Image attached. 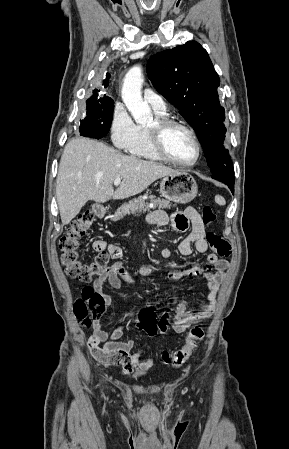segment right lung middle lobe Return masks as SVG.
Instances as JSON below:
<instances>
[{"label": "right lung middle lobe", "instance_id": "dd1d6c3e", "mask_svg": "<svg viewBox=\"0 0 289 449\" xmlns=\"http://www.w3.org/2000/svg\"><path fill=\"white\" fill-rule=\"evenodd\" d=\"M86 104L87 113L81 120L79 132L82 136L100 139L110 130L114 101L95 96L90 97Z\"/></svg>", "mask_w": 289, "mask_h": 449}]
</instances>
